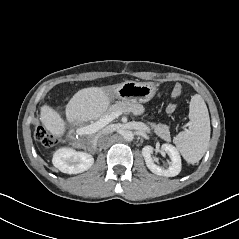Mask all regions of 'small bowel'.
<instances>
[{
  "label": "small bowel",
  "instance_id": "small-bowel-1",
  "mask_svg": "<svg viewBox=\"0 0 239 239\" xmlns=\"http://www.w3.org/2000/svg\"><path fill=\"white\" fill-rule=\"evenodd\" d=\"M179 93H180V88L177 87V88L174 90V95L177 96ZM174 109H175V106H174L173 104L169 105V107H168V111H169V112H173Z\"/></svg>",
  "mask_w": 239,
  "mask_h": 239
}]
</instances>
